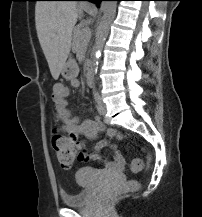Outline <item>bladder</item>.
<instances>
[{
  "label": "bladder",
  "instance_id": "bladder-1",
  "mask_svg": "<svg viewBox=\"0 0 202 217\" xmlns=\"http://www.w3.org/2000/svg\"><path fill=\"white\" fill-rule=\"evenodd\" d=\"M108 176L105 172L83 167L75 174L76 184L79 191L76 194L63 193L61 199L67 206H83L90 202L94 196V189L99 179Z\"/></svg>",
  "mask_w": 202,
  "mask_h": 217
}]
</instances>
